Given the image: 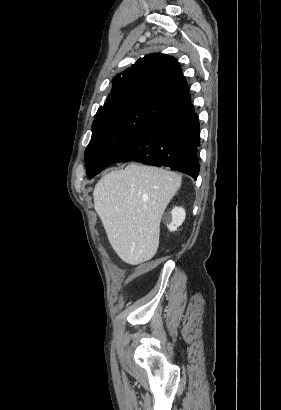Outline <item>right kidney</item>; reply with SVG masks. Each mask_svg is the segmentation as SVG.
I'll return each instance as SVG.
<instances>
[{"label":"right kidney","mask_w":281,"mask_h":410,"mask_svg":"<svg viewBox=\"0 0 281 410\" xmlns=\"http://www.w3.org/2000/svg\"><path fill=\"white\" fill-rule=\"evenodd\" d=\"M186 212L182 207H174L170 213L163 217L164 222L170 231H176L185 220Z\"/></svg>","instance_id":"right-kidney-1"}]
</instances>
